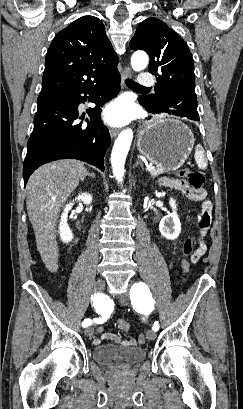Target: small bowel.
Returning <instances> with one entry per match:
<instances>
[{
	"label": "small bowel",
	"instance_id": "1",
	"mask_svg": "<svg viewBox=\"0 0 243 409\" xmlns=\"http://www.w3.org/2000/svg\"><path fill=\"white\" fill-rule=\"evenodd\" d=\"M160 184L177 190L181 195H183L189 200L202 201L201 213L198 216V225L200 228V234L196 238V248L194 249L193 253L190 256L191 263H196L204 255L207 249L206 244H205V236L210 227L212 204L206 198V192L204 190L194 189L193 187L189 185V183H187L184 180L163 178L160 180ZM112 310H113V305L111 304V302L107 301L105 303V308H104V312L102 313V317L99 319L105 322L110 317ZM97 332L101 334V336L93 340V343L95 345H98L108 340L114 341L125 347H133V346H136L138 343H140L139 339H136L134 337H131L128 339H121L116 334L104 333V329L101 326L97 328Z\"/></svg>",
	"mask_w": 243,
	"mask_h": 409
}]
</instances>
